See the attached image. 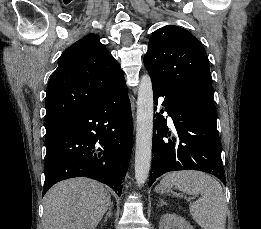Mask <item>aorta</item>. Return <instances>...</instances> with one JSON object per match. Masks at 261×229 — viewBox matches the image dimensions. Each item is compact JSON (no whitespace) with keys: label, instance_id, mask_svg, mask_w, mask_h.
Returning <instances> with one entry per match:
<instances>
[{"label":"aorta","instance_id":"obj_1","mask_svg":"<svg viewBox=\"0 0 261 229\" xmlns=\"http://www.w3.org/2000/svg\"><path fill=\"white\" fill-rule=\"evenodd\" d=\"M153 88L150 76H141L137 98L135 179L138 187L146 183L151 167L153 137Z\"/></svg>","mask_w":261,"mask_h":229}]
</instances>
